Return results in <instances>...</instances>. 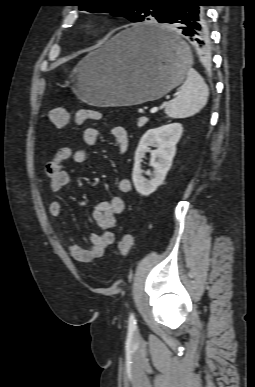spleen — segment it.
Here are the masks:
<instances>
[{
	"mask_svg": "<svg viewBox=\"0 0 255 387\" xmlns=\"http://www.w3.org/2000/svg\"><path fill=\"white\" fill-rule=\"evenodd\" d=\"M208 86L193 68H188L187 77L176 98L169 101L165 113L171 118H187L200 112L207 104Z\"/></svg>",
	"mask_w": 255,
	"mask_h": 387,
	"instance_id": "3e777b00",
	"label": "spleen"
}]
</instances>
